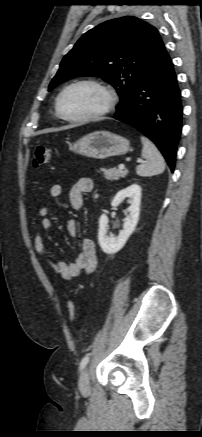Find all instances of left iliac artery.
<instances>
[{"label":"left iliac artery","mask_w":202,"mask_h":437,"mask_svg":"<svg viewBox=\"0 0 202 437\" xmlns=\"http://www.w3.org/2000/svg\"><path fill=\"white\" fill-rule=\"evenodd\" d=\"M89 362V355H86L80 362V370H82Z\"/></svg>","instance_id":"1"}]
</instances>
